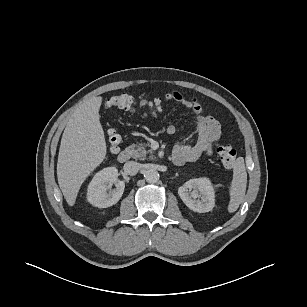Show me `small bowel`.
<instances>
[{
  "instance_id": "small-bowel-1",
  "label": "small bowel",
  "mask_w": 307,
  "mask_h": 307,
  "mask_svg": "<svg viewBox=\"0 0 307 307\" xmlns=\"http://www.w3.org/2000/svg\"><path fill=\"white\" fill-rule=\"evenodd\" d=\"M170 97L180 103L188 111L192 112L197 121V140L193 146L177 143L173 147L172 159L176 165H182L186 162L195 161L204 155L212 153L211 144L219 140L221 136V125L217 119L212 116H204L200 103L194 98L186 99L181 93L173 92ZM168 134H174L176 127L168 125L166 129ZM115 154L117 151H111Z\"/></svg>"
}]
</instances>
